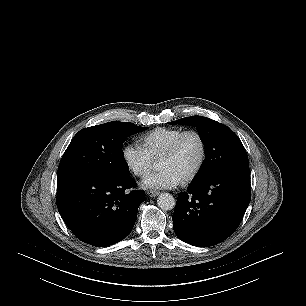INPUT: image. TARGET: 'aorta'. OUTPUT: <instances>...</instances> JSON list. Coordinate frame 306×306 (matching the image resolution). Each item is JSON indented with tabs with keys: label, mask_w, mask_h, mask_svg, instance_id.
Instances as JSON below:
<instances>
[{
	"label": "aorta",
	"mask_w": 306,
	"mask_h": 306,
	"mask_svg": "<svg viewBox=\"0 0 306 306\" xmlns=\"http://www.w3.org/2000/svg\"><path fill=\"white\" fill-rule=\"evenodd\" d=\"M157 204L162 210H172L175 207V198L169 193H161L157 199Z\"/></svg>",
	"instance_id": "1"
}]
</instances>
